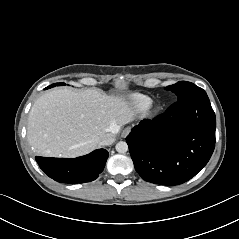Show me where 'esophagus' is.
<instances>
[{
  "label": "esophagus",
  "mask_w": 239,
  "mask_h": 239,
  "mask_svg": "<svg viewBox=\"0 0 239 239\" xmlns=\"http://www.w3.org/2000/svg\"><path fill=\"white\" fill-rule=\"evenodd\" d=\"M130 131H131L130 127L124 128L121 132V137L125 138L129 134Z\"/></svg>",
  "instance_id": "esophagus-1"
}]
</instances>
